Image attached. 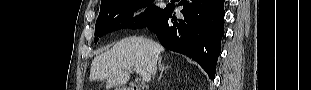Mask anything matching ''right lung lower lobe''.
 <instances>
[{"label": "right lung lower lobe", "instance_id": "right-lung-lower-lobe-1", "mask_svg": "<svg viewBox=\"0 0 311 90\" xmlns=\"http://www.w3.org/2000/svg\"><path fill=\"white\" fill-rule=\"evenodd\" d=\"M178 5H183V19L172 14L175 5L169 4L148 29L164 47L192 58L213 79L224 35V0H181Z\"/></svg>", "mask_w": 311, "mask_h": 90}]
</instances>
